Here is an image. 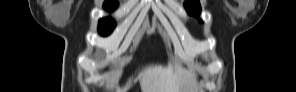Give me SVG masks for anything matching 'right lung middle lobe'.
<instances>
[{"label": "right lung middle lobe", "instance_id": "dd1d6c3e", "mask_svg": "<svg viewBox=\"0 0 296 92\" xmlns=\"http://www.w3.org/2000/svg\"><path fill=\"white\" fill-rule=\"evenodd\" d=\"M103 7L112 11L118 7V3L115 0H106ZM115 26L116 23L112 18H103L99 21L98 31L100 35L107 36L114 30Z\"/></svg>", "mask_w": 296, "mask_h": 92}]
</instances>
